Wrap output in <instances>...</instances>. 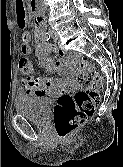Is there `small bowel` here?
I'll return each instance as SVG.
<instances>
[{"mask_svg": "<svg viewBox=\"0 0 123 167\" xmlns=\"http://www.w3.org/2000/svg\"><path fill=\"white\" fill-rule=\"evenodd\" d=\"M16 5L15 14H17L18 24L20 27H25L28 23L26 13V1L14 0ZM31 33L24 31L22 33L21 53L24 56L32 54L33 48L31 46ZM50 46L41 40L40 25L36 21V56L39 65L48 72H60L62 70V59L64 53L62 50L55 49V56L51 57L49 54ZM22 91L26 95L44 96L52 98L63 94L67 91L71 83L69 80H61L53 77H25L21 79Z\"/></svg>", "mask_w": 123, "mask_h": 167, "instance_id": "c3829d8e", "label": "small bowel"}]
</instances>
